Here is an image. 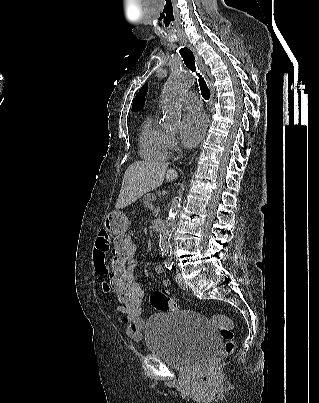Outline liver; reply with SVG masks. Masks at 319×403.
Returning <instances> with one entry per match:
<instances>
[{
    "label": "liver",
    "mask_w": 319,
    "mask_h": 403,
    "mask_svg": "<svg viewBox=\"0 0 319 403\" xmlns=\"http://www.w3.org/2000/svg\"><path fill=\"white\" fill-rule=\"evenodd\" d=\"M177 177V172L168 169L165 162L136 161L125 171L115 208H125L160 186L165 178L167 182H172Z\"/></svg>",
    "instance_id": "liver-1"
}]
</instances>
